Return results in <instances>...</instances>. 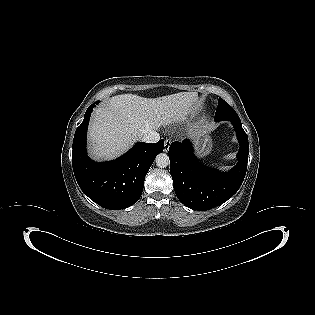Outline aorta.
Segmentation results:
<instances>
[{"mask_svg":"<svg viewBox=\"0 0 315 315\" xmlns=\"http://www.w3.org/2000/svg\"><path fill=\"white\" fill-rule=\"evenodd\" d=\"M156 165L159 168H166L169 165V157L165 153H160L155 159Z\"/></svg>","mask_w":315,"mask_h":315,"instance_id":"762f6f07","label":"aorta"}]
</instances>
